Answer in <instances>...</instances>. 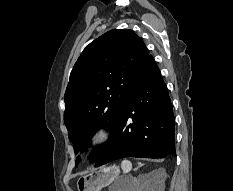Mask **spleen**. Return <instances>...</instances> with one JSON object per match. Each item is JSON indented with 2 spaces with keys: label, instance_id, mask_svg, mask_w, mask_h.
I'll use <instances>...</instances> for the list:
<instances>
[{
  "label": "spleen",
  "instance_id": "1",
  "mask_svg": "<svg viewBox=\"0 0 233 191\" xmlns=\"http://www.w3.org/2000/svg\"><path fill=\"white\" fill-rule=\"evenodd\" d=\"M121 168L123 170V173H127L131 170L132 164L129 160H123L121 163Z\"/></svg>",
  "mask_w": 233,
  "mask_h": 191
}]
</instances>
